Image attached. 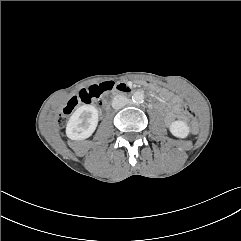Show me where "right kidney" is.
Here are the masks:
<instances>
[{
    "label": "right kidney",
    "instance_id": "ca27d5eb",
    "mask_svg": "<svg viewBox=\"0 0 241 241\" xmlns=\"http://www.w3.org/2000/svg\"><path fill=\"white\" fill-rule=\"evenodd\" d=\"M98 110L92 105L78 107L69 118L66 135L71 140L89 138L98 125Z\"/></svg>",
    "mask_w": 241,
    "mask_h": 241
}]
</instances>
